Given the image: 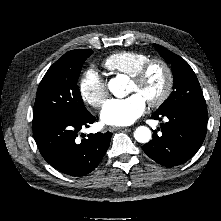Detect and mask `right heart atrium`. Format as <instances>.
<instances>
[{"instance_id":"d8ad5b80","label":"right heart atrium","mask_w":221,"mask_h":221,"mask_svg":"<svg viewBox=\"0 0 221 221\" xmlns=\"http://www.w3.org/2000/svg\"><path fill=\"white\" fill-rule=\"evenodd\" d=\"M79 92L88 105L99 108L108 96L105 80L92 68L87 69L79 81Z\"/></svg>"}]
</instances>
